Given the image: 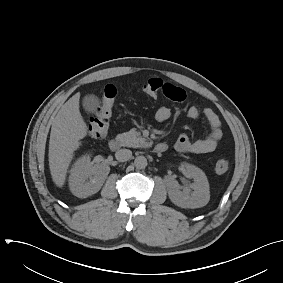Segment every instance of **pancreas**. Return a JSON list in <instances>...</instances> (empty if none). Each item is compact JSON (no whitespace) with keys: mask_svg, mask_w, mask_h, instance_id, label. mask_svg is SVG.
<instances>
[{"mask_svg":"<svg viewBox=\"0 0 283 283\" xmlns=\"http://www.w3.org/2000/svg\"><path fill=\"white\" fill-rule=\"evenodd\" d=\"M117 139L121 142V145L125 147L139 148L147 147L151 144L147 142V139L143 138L136 129H131L129 132L119 134Z\"/></svg>","mask_w":283,"mask_h":283,"instance_id":"1","label":"pancreas"}]
</instances>
